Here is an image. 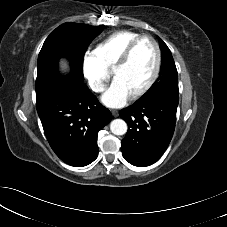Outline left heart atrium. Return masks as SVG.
<instances>
[{
	"mask_svg": "<svg viewBox=\"0 0 227 227\" xmlns=\"http://www.w3.org/2000/svg\"><path fill=\"white\" fill-rule=\"evenodd\" d=\"M129 96V93L123 85L119 81L114 80L103 94L102 102L108 107L117 108L123 106Z\"/></svg>",
	"mask_w": 227,
	"mask_h": 227,
	"instance_id": "left-heart-atrium-1",
	"label": "left heart atrium"
}]
</instances>
